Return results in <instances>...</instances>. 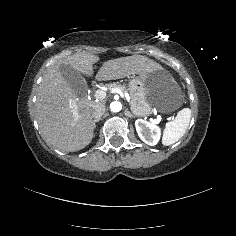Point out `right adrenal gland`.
<instances>
[{"label":"right adrenal gland","mask_w":236,"mask_h":236,"mask_svg":"<svg viewBox=\"0 0 236 236\" xmlns=\"http://www.w3.org/2000/svg\"><path fill=\"white\" fill-rule=\"evenodd\" d=\"M100 120H101V118H99V119L93 121L94 127H95V123H96V122H99Z\"/></svg>","instance_id":"2a0ac1e0"}]
</instances>
